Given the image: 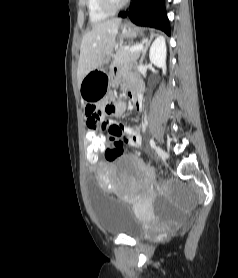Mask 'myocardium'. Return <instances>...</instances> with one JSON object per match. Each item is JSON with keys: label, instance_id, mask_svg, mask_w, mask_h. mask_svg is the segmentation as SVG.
<instances>
[{"label": "myocardium", "instance_id": "myocardium-1", "mask_svg": "<svg viewBox=\"0 0 238 278\" xmlns=\"http://www.w3.org/2000/svg\"><path fill=\"white\" fill-rule=\"evenodd\" d=\"M101 9L109 14L115 13L122 9L128 0L116 2L114 0H98Z\"/></svg>", "mask_w": 238, "mask_h": 278}]
</instances>
